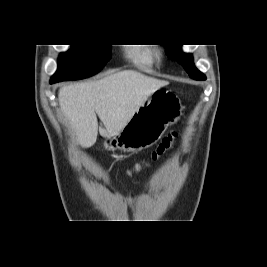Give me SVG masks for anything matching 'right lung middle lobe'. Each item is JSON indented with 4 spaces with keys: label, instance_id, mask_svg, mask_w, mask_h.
<instances>
[{
    "label": "right lung middle lobe",
    "instance_id": "dd1d6c3e",
    "mask_svg": "<svg viewBox=\"0 0 267 267\" xmlns=\"http://www.w3.org/2000/svg\"><path fill=\"white\" fill-rule=\"evenodd\" d=\"M70 51L61 53L58 69L51 81L79 80L90 77L106 64L111 57L110 45H72Z\"/></svg>",
    "mask_w": 267,
    "mask_h": 267
}]
</instances>
